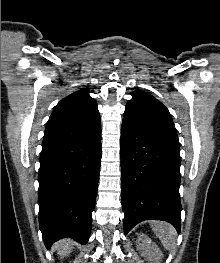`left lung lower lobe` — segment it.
<instances>
[{"label": "left lung lower lobe", "instance_id": "0a47b994", "mask_svg": "<svg viewBox=\"0 0 220 263\" xmlns=\"http://www.w3.org/2000/svg\"><path fill=\"white\" fill-rule=\"evenodd\" d=\"M179 147L125 122L121 131V199L127 234L143 220L170 222L180 233Z\"/></svg>", "mask_w": 220, "mask_h": 263}]
</instances>
